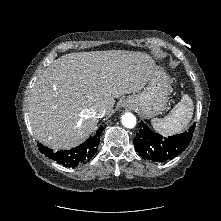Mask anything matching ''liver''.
Returning a JSON list of instances; mask_svg holds the SVG:
<instances>
[{
    "label": "liver",
    "instance_id": "1",
    "mask_svg": "<svg viewBox=\"0 0 221 221\" xmlns=\"http://www.w3.org/2000/svg\"><path fill=\"white\" fill-rule=\"evenodd\" d=\"M156 69L146 53L77 52L52 62L36 81L28 103L34 136L55 150L71 149L95 130L93 111L111 113L115 98L139 92Z\"/></svg>",
    "mask_w": 221,
    "mask_h": 221
}]
</instances>
